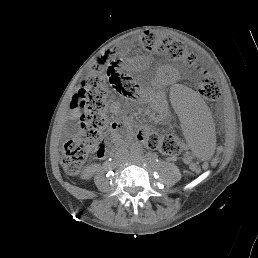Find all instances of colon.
<instances>
[{
    "instance_id": "5ec220e1",
    "label": "colon",
    "mask_w": 258,
    "mask_h": 258,
    "mask_svg": "<svg viewBox=\"0 0 258 258\" xmlns=\"http://www.w3.org/2000/svg\"><path fill=\"white\" fill-rule=\"evenodd\" d=\"M140 44L147 50L161 49L172 59H181L186 64L194 63V55L183 50L180 42L168 34L145 32L140 36ZM201 76L199 92L208 100H216L220 95L217 80L199 67ZM108 84L122 96H130L137 87L136 82L119 67V62L107 55L98 58L90 67L89 74L82 80L74 96L80 111L81 132L77 139L67 142L61 151V162L68 174H75L85 162L88 153L106 150L111 140L104 135ZM141 140L153 150L168 156L180 153V143L172 135H164L144 127L137 129Z\"/></svg>"
}]
</instances>
